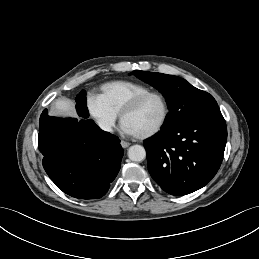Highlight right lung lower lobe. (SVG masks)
<instances>
[{"label": "right lung lower lobe", "mask_w": 259, "mask_h": 259, "mask_svg": "<svg viewBox=\"0 0 259 259\" xmlns=\"http://www.w3.org/2000/svg\"><path fill=\"white\" fill-rule=\"evenodd\" d=\"M84 119L50 117L45 109L39 122L38 146L43 167L64 193L80 199H98L117 176L123 149L120 140Z\"/></svg>", "instance_id": "1"}]
</instances>
